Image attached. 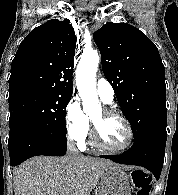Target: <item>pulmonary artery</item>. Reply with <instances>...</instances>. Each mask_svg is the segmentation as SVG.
Listing matches in <instances>:
<instances>
[{
    "label": "pulmonary artery",
    "instance_id": "obj_1",
    "mask_svg": "<svg viewBox=\"0 0 178 195\" xmlns=\"http://www.w3.org/2000/svg\"><path fill=\"white\" fill-rule=\"evenodd\" d=\"M96 90L101 100L106 104L113 103L114 89L112 85L105 79L100 78L96 83Z\"/></svg>",
    "mask_w": 178,
    "mask_h": 195
}]
</instances>
